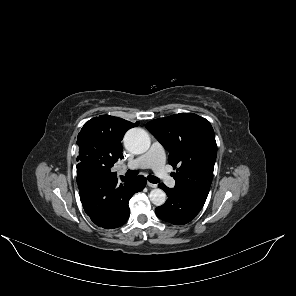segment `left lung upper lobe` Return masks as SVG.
<instances>
[{"mask_svg":"<svg viewBox=\"0 0 296 296\" xmlns=\"http://www.w3.org/2000/svg\"><path fill=\"white\" fill-rule=\"evenodd\" d=\"M145 126L170 152L168 161L177 167L175 188L209 191L217 155L210 122L193 113H180Z\"/></svg>","mask_w":296,"mask_h":296,"instance_id":"obj_1","label":"left lung upper lobe"}]
</instances>
